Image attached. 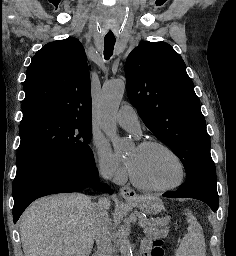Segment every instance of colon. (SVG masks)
<instances>
[{
  "label": "colon",
  "mask_w": 236,
  "mask_h": 256,
  "mask_svg": "<svg viewBox=\"0 0 236 256\" xmlns=\"http://www.w3.org/2000/svg\"><path fill=\"white\" fill-rule=\"evenodd\" d=\"M150 256H165L164 240L160 236L154 238Z\"/></svg>",
  "instance_id": "colon-1"
}]
</instances>
